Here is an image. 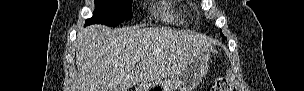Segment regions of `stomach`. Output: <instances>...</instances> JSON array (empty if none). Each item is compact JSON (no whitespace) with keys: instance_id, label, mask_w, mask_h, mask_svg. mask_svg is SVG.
<instances>
[{"instance_id":"stomach-1","label":"stomach","mask_w":304,"mask_h":91,"mask_svg":"<svg viewBox=\"0 0 304 91\" xmlns=\"http://www.w3.org/2000/svg\"><path fill=\"white\" fill-rule=\"evenodd\" d=\"M210 57L205 51L192 54L185 64L165 83L141 86L137 91H193L207 74Z\"/></svg>"}]
</instances>
